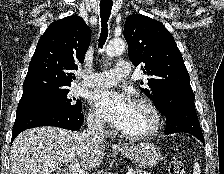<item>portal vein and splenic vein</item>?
I'll return each instance as SVG.
<instances>
[{"instance_id": "obj_1", "label": "portal vein and splenic vein", "mask_w": 224, "mask_h": 174, "mask_svg": "<svg viewBox=\"0 0 224 174\" xmlns=\"http://www.w3.org/2000/svg\"><path fill=\"white\" fill-rule=\"evenodd\" d=\"M68 169L71 172V174H88L87 172L80 169L79 164L69 165ZM126 174H135V172L132 170H129Z\"/></svg>"}]
</instances>
